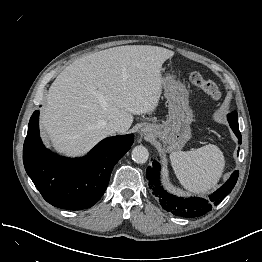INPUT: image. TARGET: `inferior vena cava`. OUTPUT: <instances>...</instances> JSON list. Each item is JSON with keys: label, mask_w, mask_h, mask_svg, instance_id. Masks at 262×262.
Here are the masks:
<instances>
[{"label": "inferior vena cava", "mask_w": 262, "mask_h": 262, "mask_svg": "<svg viewBox=\"0 0 262 262\" xmlns=\"http://www.w3.org/2000/svg\"><path fill=\"white\" fill-rule=\"evenodd\" d=\"M105 129L111 133H124L126 131V127L118 122V121H110L105 125Z\"/></svg>", "instance_id": "obj_1"}]
</instances>
